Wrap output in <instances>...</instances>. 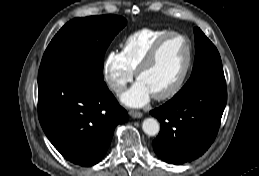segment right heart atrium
<instances>
[{
	"label": "right heart atrium",
	"mask_w": 259,
	"mask_h": 176,
	"mask_svg": "<svg viewBox=\"0 0 259 176\" xmlns=\"http://www.w3.org/2000/svg\"><path fill=\"white\" fill-rule=\"evenodd\" d=\"M102 74L107 85L116 94L123 92L134 77V72L126 65L119 51L107 53L102 64Z\"/></svg>",
	"instance_id": "right-heart-atrium-1"
}]
</instances>
